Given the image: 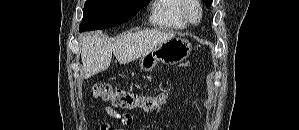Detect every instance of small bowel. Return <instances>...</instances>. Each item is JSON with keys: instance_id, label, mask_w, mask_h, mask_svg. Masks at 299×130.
<instances>
[{"instance_id": "1", "label": "small bowel", "mask_w": 299, "mask_h": 130, "mask_svg": "<svg viewBox=\"0 0 299 130\" xmlns=\"http://www.w3.org/2000/svg\"><path fill=\"white\" fill-rule=\"evenodd\" d=\"M105 112L107 115L110 117L114 118L118 122H120L123 125H130L132 123V117L128 113H119L115 111L112 107L106 106L105 107ZM100 130H123L121 128H114L111 126L109 123H102L100 125ZM136 130H146L145 128H137Z\"/></svg>"}]
</instances>
